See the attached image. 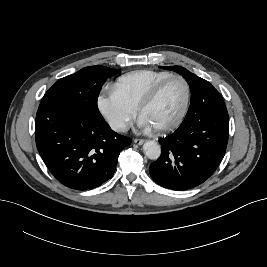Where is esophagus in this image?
I'll list each match as a JSON object with an SVG mask.
<instances>
[{
	"label": "esophagus",
	"mask_w": 267,
	"mask_h": 267,
	"mask_svg": "<svg viewBox=\"0 0 267 267\" xmlns=\"http://www.w3.org/2000/svg\"><path fill=\"white\" fill-rule=\"evenodd\" d=\"M133 141L135 144H138V145H142L145 142L144 139H134Z\"/></svg>",
	"instance_id": "obj_1"
}]
</instances>
